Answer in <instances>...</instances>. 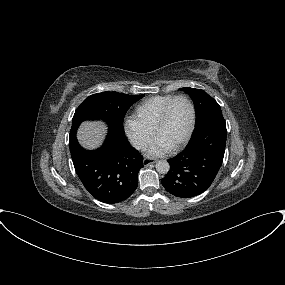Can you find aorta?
Segmentation results:
<instances>
[{
    "label": "aorta",
    "instance_id": "aorta-1",
    "mask_svg": "<svg viewBox=\"0 0 285 285\" xmlns=\"http://www.w3.org/2000/svg\"><path fill=\"white\" fill-rule=\"evenodd\" d=\"M170 169V165L166 160H159L156 163V170L160 174H166Z\"/></svg>",
    "mask_w": 285,
    "mask_h": 285
}]
</instances>
